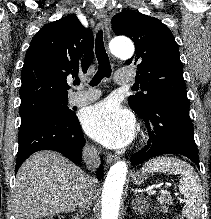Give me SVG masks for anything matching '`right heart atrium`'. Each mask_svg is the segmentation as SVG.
Segmentation results:
<instances>
[{"label": "right heart atrium", "instance_id": "obj_1", "mask_svg": "<svg viewBox=\"0 0 211 219\" xmlns=\"http://www.w3.org/2000/svg\"><path fill=\"white\" fill-rule=\"evenodd\" d=\"M89 149H93V147H92V146H89Z\"/></svg>", "mask_w": 211, "mask_h": 219}]
</instances>
